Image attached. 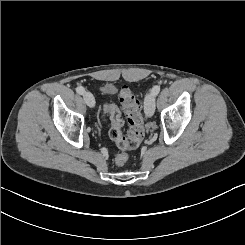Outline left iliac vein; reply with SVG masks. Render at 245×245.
Returning <instances> with one entry per match:
<instances>
[{
    "label": "left iliac vein",
    "mask_w": 245,
    "mask_h": 245,
    "mask_svg": "<svg viewBox=\"0 0 245 245\" xmlns=\"http://www.w3.org/2000/svg\"><path fill=\"white\" fill-rule=\"evenodd\" d=\"M155 110V95L151 91L145 97V115L147 117H152Z\"/></svg>",
    "instance_id": "obj_1"
}]
</instances>
